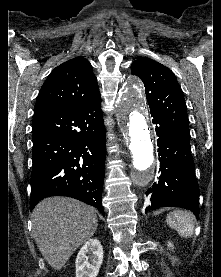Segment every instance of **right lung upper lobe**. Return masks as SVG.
Segmentation results:
<instances>
[{
  "label": "right lung upper lobe",
  "mask_w": 221,
  "mask_h": 277,
  "mask_svg": "<svg viewBox=\"0 0 221 277\" xmlns=\"http://www.w3.org/2000/svg\"><path fill=\"white\" fill-rule=\"evenodd\" d=\"M98 98L99 87L91 64L76 57L50 73L38 95L35 112L75 108Z\"/></svg>",
  "instance_id": "obj_1"
}]
</instances>
